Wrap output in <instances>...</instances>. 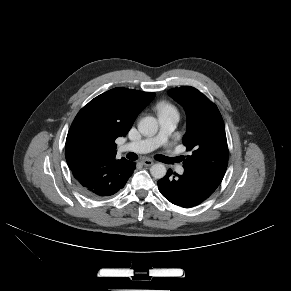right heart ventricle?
<instances>
[{
	"label": "right heart ventricle",
	"mask_w": 291,
	"mask_h": 291,
	"mask_svg": "<svg viewBox=\"0 0 291 291\" xmlns=\"http://www.w3.org/2000/svg\"><path fill=\"white\" fill-rule=\"evenodd\" d=\"M156 110L159 116L165 115V114H172V113L178 114L176 107L172 105L170 102L165 101V100L159 101L156 104Z\"/></svg>",
	"instance_id": "obj_1"
}]
</instances>
